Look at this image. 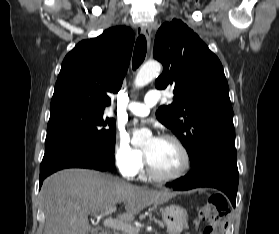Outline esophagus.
<instances>
[{
  "label": "esophagus",
  "mask_w": 279,
  "mask_h": 234,
  "mask_svg": "<svg viewBox=\"0 0 279 234\" xmlns=\"http://www.w3.org/2000/svg\"><path fill=\"white\" fill-rule=\"evenodd\" d=\"M140 32L145 36L147 40V45L150 47L151 44V28L150 26H141Z\"/></svg>",
  "instance_id": "1"
}]
</instances>
